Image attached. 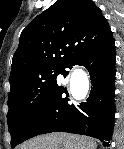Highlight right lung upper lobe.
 <instances>
[{
  "mask_svg": "<svg viewBox=\"0 0 124 149\" xmlns=\"http://www.w3.org/2000/svg\"><path fill=\"white\" fill-rule=\"evenodd\" d=\"M112 38L107 20L92 0H57L22 31L10 86L36 71L64 68Z\"/></svg>",
  "mask_w": 124,
  "mask_h": 149,
  "instance_id": "obj_1",
  "label": "right lung upper lobe"
}]
</instances>
